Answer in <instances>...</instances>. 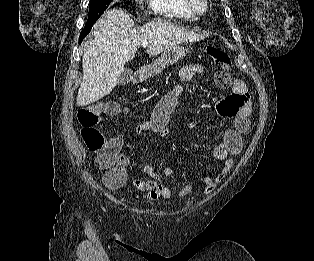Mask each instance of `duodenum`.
Returning <instances> with one entry per match:
<instances>
[{
  "label": "duodenum",
  "instance_id": "duodenum-1",
  "mask_svg": "<svg viewBox=\"0 0 314 261\" xmlns=\"http://www.w3.org/2000/svg\"><path fill=\"white\" fill-rule=\"evenodd\" d=\"M145 77H146L145 71H137L134 74L133 82L136 84L142 83L145 80Z\"/></svg>",
  "mask_w": 314,
  "mask_h": 261
}]
</instances>
